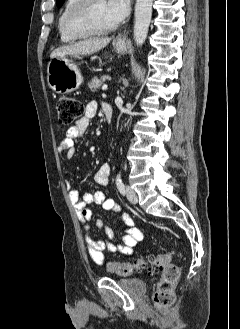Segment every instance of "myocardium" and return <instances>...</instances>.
Masks as SVG:
<instances>
[{"label":"myocardium","mask_w":240,"mask_h":329,"mask_svg":"<svg viewBox=\"0 0 240 329\" xmlns=\"http://www.w3.org/2000/svg\"><path fill=\"white\" fill-rule=\"evenodd\" d=\"M95 0H77L65 17V29L75 38H86L109 33L115 30L117 23L106 27H96L90 22V13Z\"/></svg>","instance_id":"obj_1"}]
</instances>
